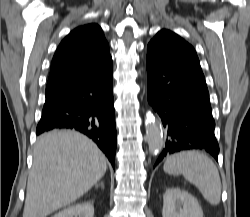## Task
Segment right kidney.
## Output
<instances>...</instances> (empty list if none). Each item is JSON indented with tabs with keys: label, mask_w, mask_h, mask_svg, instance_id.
Here are the masks:
<instances>
[{
	"label": "right kidney",
	"mask_w": 250,
	"mask_h": 217,
	"mask_svg": "<svg viewBox=\"0 0 250 217\" xmlns=\"http://www.w3.org/2000/svg\"><path fill=\"white\" fill-rule=\"evenodd\" d=\"M94 207L90 202L69 206L52 217H93Z\"/></svg>",
	"instance_id": "ca27d5eb"
}]
</instances>
